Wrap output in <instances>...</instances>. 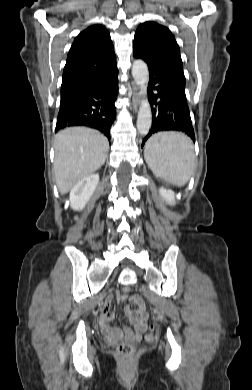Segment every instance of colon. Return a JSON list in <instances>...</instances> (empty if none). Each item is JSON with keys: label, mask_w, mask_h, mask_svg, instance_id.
I'll use <instances>...</instances> for the list:
<instances>
[{"label": "colon", "mask_w": 252, "mask_h": 390, "mask_svg": "<svg viewBox=\"0 0 252 390\" xmlns=\"http://www.w3.org/2000/svg\"><path fill=\"white\" fill-rule=\"evenodd\" d=\"M125 292L127 293L128 289H125ZM134 299H138V297H134ZM136 350L137 347L134 343L126 342L117 346L116 353L122 361L126 362L133 358Z\"/></svg>", "instance_id": "5ec220e1"}]
</instances>
